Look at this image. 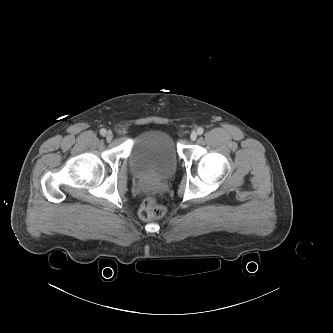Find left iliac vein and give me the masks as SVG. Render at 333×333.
Masks as SVG:
<instances>
[{
    "label": "left iliac vein",
    "mask_w": 333,
    "mask_h": 333,
    "mask_svg": "<svg viewBox=\"0 0 333 333\" xmlns=\"http://www.w3.org/2000/svg\"><path fill=\"white\" fill-rule=\"evenodd\" d=\"M196 138H197V133H196L195 131H193V132L190 134V139H191L192 141H195Z\"/></svg>",
    "instance_id": "left-iliac-vein-1"
}]
</instances>
